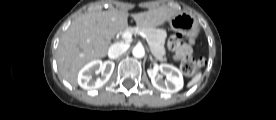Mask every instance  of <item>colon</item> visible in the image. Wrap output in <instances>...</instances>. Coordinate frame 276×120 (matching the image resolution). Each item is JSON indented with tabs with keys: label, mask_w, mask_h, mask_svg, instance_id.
<instances>
[{
	"label": "colon",
	"mask_w": 276,
	"mask_h": 120,
	"mask_svg": "<svg viewBox=\"0 0 276 120\" xmlns=\"http://www.w3.org/2000/svg\"><path fill=\"white\" fill-rule=\"evenodd\" d=\"M185 38L180 34H173L168 40V47L174 52L180 62L181 71L187 76H194L203 64L202 59H194L190 54L182 53Z\"/></svg>",
	"instance_id": "colon-1"
}]
</instances>
